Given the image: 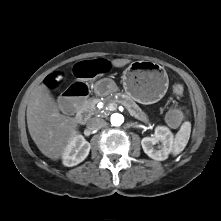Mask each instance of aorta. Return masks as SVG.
Wrapping results in <instances>:
<instances>
[{
  "instance_id": "762f6f07",
  "label": "aorta",
  "mask_w": 221,
  "mask_h": 221,
  "mask_svg": "<svg viewBox=\"0 0 221 221\" xmlns=\"http://www.w3.org/2000/svg\"><path fill=\"white\" fill-rule=\"evenodd\" d=\"M124 122L123 115L119 113H114L111 115V124L113 126H120Z\"/></svg>"
}]
</instances>
